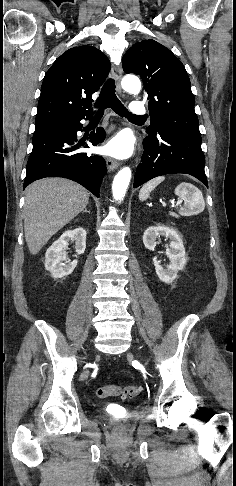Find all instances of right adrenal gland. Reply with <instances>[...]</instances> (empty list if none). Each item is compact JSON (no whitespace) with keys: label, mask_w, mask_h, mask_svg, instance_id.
<instances>
[{"label":"right adrenal gland","mask_w":236,"mask_h":486,"mask_svg":"<svg viewBox=\"0 0 236 486\" xmlns=\"http://www.w3.org/2000/svg\"><path fill=\"white\" fill-rule=\"evenodd\" d=\"M85 212H86V213H89V211H88L87 209H85V210L83 211V213H85Z\"/></svg>","instance_id":"2a0ac1e0"}]
</instances>
